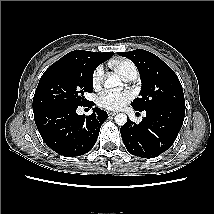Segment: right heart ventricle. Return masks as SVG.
Returning <instances> with one entry per match:
<instances>
[{"mask_svg": "<svg viewBox=\"0 0 214 214\" xmlns=\"http://www.w3.org/2000/svg\"><path fill=\"white\" fill-rule=\"evenodd\" d=\"M112 67L114 70L121 75L123 78L125 77L126 73L135 68L134 64L129 60H119L112 63Z\"/></svg>", "mask_w": 214, "mask_h": 214, "instance_id": "right-heart-ventricle-1", "label": "right heart ventricle"}]
</instances>
